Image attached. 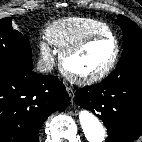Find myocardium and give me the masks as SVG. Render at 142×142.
<instances>
[{
  "label": "myocardium",
  "mask_w": 142,
  "mask_h": 142,
  "mask_svg": "<svg viewBox=\"0 0 142 142\" xmlns=\"http://www.w3.org/2000/svg\"><path fill=\"white\" fill-rule=\"evenodd\" d=\"M104 39H109L114 42L115 52H114V55H113L111 61L102 70H100L94 74L83 76V75L75 74L67 68L66 62L70 57L78 54L79 52L84 50L91 43H93L95 41H99V40H104ZM120 51H121L120 43H119L118 39L112 33L111 34L91 35V36L86 37V38L82 39L81 41L77 42L76 44H74L73 46L64 50L63 52H61L60 58H59L60 68H61L62 72L73 81H76L81 84H93L95 82L102 80L103 78H105L106 76H108L111 73V71L115 68V66L119 60Z\"/></svg>",
  "instance_id": "1"
}]
</instances>
